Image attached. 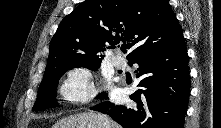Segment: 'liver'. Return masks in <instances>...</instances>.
Returning <instances> with one entry per match:
<instances>
[{"label":"liver","mask_w":221,"mask_h":128,"mask_svg":"<svg viewBox=\"0 0 221 128\" xmlns=\"http://www.w3.org/2000/svg\"><path fill=\"white\" fill-rule=\"evenodd\" d=\"M100 114L93 112H84L76 115H70L62 118L55 123L52 128H102L98 116ZM109 128H120L114 121L108 119Z\"/></svg>","instance_id":"obj_1"}]
</instances>
